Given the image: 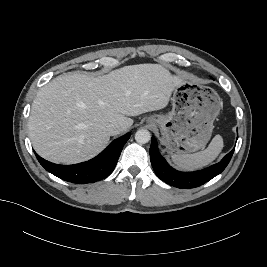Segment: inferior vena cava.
Returning a JSON list of instances; mask_svg holds the SVG:
<instances>
[{
  "mask_svg": "<svg viewBox=\"0 0 267 267\" xmlns=\"http://www.w3.org/2000/svg\"><path fill=\"white\" fill-rule=\"evenodd\" d=\"M107 131L110 135H117L123 131V127L116 122L107 125Z\"/></svg>",
  "mask_w": 267,
  "mask_h": 267,
  "instance_id": "1",
  "label": "inferior vena cava"
}]
</instances>
